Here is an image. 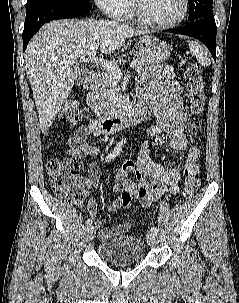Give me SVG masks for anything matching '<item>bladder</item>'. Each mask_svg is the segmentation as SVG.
Segmentation results:
<instances>
[{
    "mask_svg": "<svg viewBox=\"0 0 239 303\" xmlns=\"http://www.w3.org/2000/svg\"><path fill=\"white\" fill-rule=\"evenodd\" d=\"M99 255L119 266L138 263L144 255L143 240L133 234H121L98 245Z\"/></svg>",
    "mask_w": 239,
    "mask_h": 303,
    "instance_id": "1",
    "label": "bladder"
}]
</instances>
